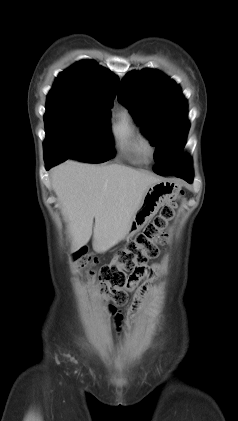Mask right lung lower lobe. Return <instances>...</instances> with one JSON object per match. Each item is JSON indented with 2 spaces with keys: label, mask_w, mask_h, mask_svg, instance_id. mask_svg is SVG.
<instances>
[{
  "label": "right lung lower lobe",
  "mask_w": 238,
  "mask_h": 421,
  "mask_svg": "<svg viewBox=\"0 0 238 421\" xmlns=\"http://www.w3.org/2000/svg\"><path fill=\"white\" fill-rule=\"evenodd\" d=\"M65 161L64 158H51L45 159L46 169L49 170L51 167Z\"/></svg>",
  "instance_id": "1"
}]
</instances>
